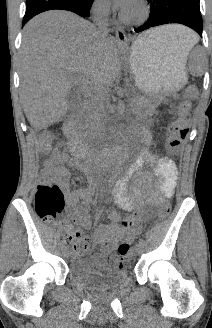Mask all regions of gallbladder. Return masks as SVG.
Wrapping results in <instances>:
<instances>
[{"instance_id": "obj_1", "label": "gallbladder", "mask_w": 212, "mask_h": 328, "mask_svg": "<svg viewBox=\"0 0 212 328\" xmlns=\"http://www.w3.org/2000/svg\"><path fill=\"white\" fill-rule=\"evenodd\" d=\"M74 99H75L74 92L71 91V92L68 94L67 98H66V100H67L69 106L72 105V103L74 102Z\"/></svg>"}]
</instances>
